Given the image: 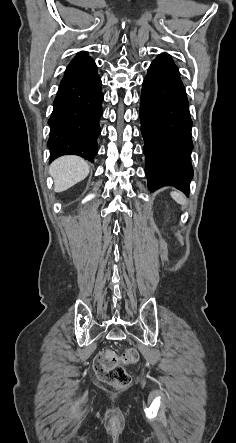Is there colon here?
Instances as JSON below:
<instances>
[{
  "label": "colon",
  "instance_id": "obj_1",
  "mask_svg": "<svg viewBox=\"0 0 236 443\" xmlns=\"http://www.w3.org/2000/svg\"><path fill=\"white\" fill-rule=\"evenodd\" d=\"M137 360L138 352L133 348L126 349L121 356L112 351H106L96 357L94 370L101 381L124 388L130 384L131 378L123 365L135 363Z\"/></svg>",
  "mask_w": 236,
  "mask_h": 443
}]
</instances>
